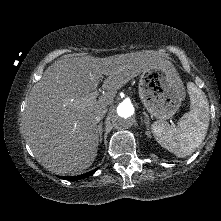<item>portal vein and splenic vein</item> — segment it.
Returning a JSON list of instances; mask_svg holds the SVG:
<instances>
[{"instance_id": "portal-vein-and-splenic-vein-1", "label": "portal vein and splenic vein", "mask_w": 221, "mask_h": 221, "mask_svg": "<svg viewBox=\"0 0 221 221\" xmlns=\"http://www.w3.org/2000/svg\"><path fill=\"white\" fill-rule=\"evenodd\" d=\"M97 95H98L97 91L90 93L88 99L86 100L87 103H91L93 100H95Z\"/></svg>"}]
</instances>
